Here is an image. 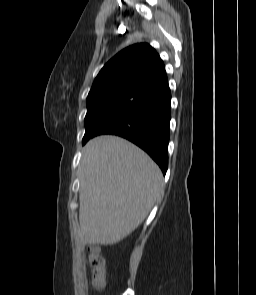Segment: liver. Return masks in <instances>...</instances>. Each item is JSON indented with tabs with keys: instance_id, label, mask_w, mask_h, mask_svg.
Listing matches in <instances>:
<instances>
[{
	"instance_id": "obj_1",
	"label": "liver",
	"mask_w": 256,
	"mask_h": 295,
	"mask_svg": "<svg viewBox=\"0 0 256 295\" xmlns=\"http://www.w3.org/2000/svg\"><path fill=\"white\" fill-rule=\"evenodd\" d=\"M79 179L82 244L123 240L144 221L163 191L157 164L131 142L111 135L85 145Z\"/></svg>"
}]
</instances>
